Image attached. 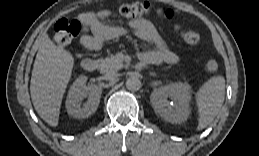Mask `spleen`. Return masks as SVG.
<instances>
[{"mask_svg":"<svg viewBox=\"0 0 259 156\" xmlns=\"http://www.w3.org/2000/svg\"><path fill=\"white\" fill-rule=\"evenodd\" d=\"M225 98V79L213 76L196 93L199 112L198 130L207 127L218 115Z\"/></svg>","mask_w":259,"mask_h":156,"instance_id":"1","label":"spleen"}]
</instances>
